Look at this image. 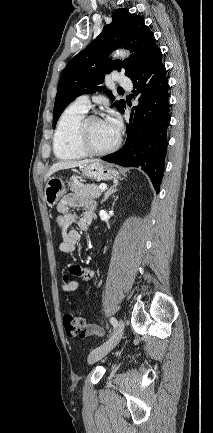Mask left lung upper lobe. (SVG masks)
Listing matches in <instances>:
<instances>
[{
  "instance_id": "left-lung-upper-lobe-1",
  "label": "left lung upper lobe",
  "mask_w": 213,
  "mask_h": 433,
  "mask_svg": "<svg viewBox=\"0 0 213 433\" xmlns=\"http://www.w3.org/2000/svg\"><path fill=\"white\" fill-rule=\"evenodd\" d=\"M121 47L133 52L130 58L123 61L107 58L109 53ZM157 47L155 37L142 17L131 14L127 9L115 10L112 22L104 26L101 34L63 70L55 98L53 128L75 98L103 89L98 85L103 83L106 73L124 70L125 75L131 78ZM107 93L114 99L111 91ZM115 106L122 111L125 101H116Z\"/></svg>"
}]
</instances>
